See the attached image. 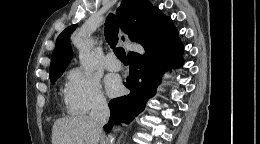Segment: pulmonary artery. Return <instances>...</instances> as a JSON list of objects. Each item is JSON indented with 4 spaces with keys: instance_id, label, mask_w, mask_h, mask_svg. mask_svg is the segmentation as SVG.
<instances>
[{
    "instance_id": "obj_1",
    "label": "pulmonary artery",
    "mask_w": 260,
    "mask_h": 144,
    "mask_svg": "<svg viewBox=\"0 0 260 144\" xmlns=\"http://www.w3.org/2000/svg\"><path fill=\"white\" fill-rule=\"evenodd\" d=\"M105 66L111 71H118L121 69V64L114 54H108L105 57Z\"/></svg>"
}]
</instances>
